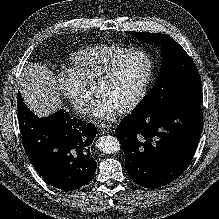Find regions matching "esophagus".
Instances as JSON below:
<instances>
[{
  "mask_svg": "<svg viewBox=\"0 0 219 219\" xmlns=\"http://www.w3.org/2000/svg\"><path fill=\"white\" fill-rule=\"evenodd\" d=\"M112 130V126L108 125V124H101L99 126V131L101 134H108L110 133Z\"/></svg>",
  "mask_w": 219,
  "mask_h": 219,
  "instance_id": "obj_1",
  "label": "esophagus"
}]
</instances>
